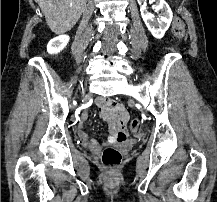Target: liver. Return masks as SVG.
I'll return each instance as SVG.
<instances>
[{
    "label": "liver",
    "mask_w": 217,
    "mask_h": 202,
    "mask_svg": "<svg viewBox=\"0 0 217 202\" xmlns=\"http://www.w3.org/2000/svg\"><path fill=\"white\" fill-rule=\"evenodd\" d=\"M54 34L69 32L83 14L87 0H35Z\"/></svg>",
    "instance_id": "6515ba94"
}]
</instances>
